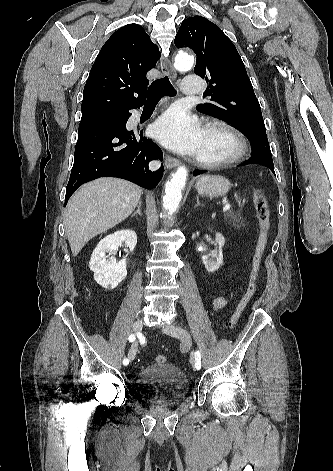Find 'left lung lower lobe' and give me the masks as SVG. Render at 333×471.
I'll return each mask as SVG.
<instances>
[{"label": "left lung lower lobe", "mask_w": 333, "mask_h": 471, "mask_svg": "<svg viewBox=\"0 0 333 471\" xmlns=\"http://www.w3.org/2000/svg\"><path fill=\"white\" fill-rule=\"evenodd\" d=\"M248 164H261V165H264V166L268 167L275 174L274 164H273L272 156H271L270 153H261V154H257V155H252L247 161L240 164V166L248 165ZM205 172L206 171L195 170L193 172V175L196 176V175H199V174H202V173H205Z\"/></svg>", "instance_id": "1"}]
</instances>
